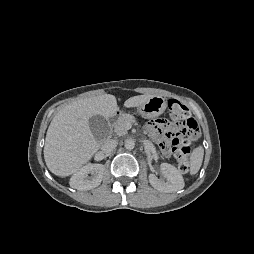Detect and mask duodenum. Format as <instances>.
<instances>
[{
	"label": "duodenum",
	"instance_id": "1",
	"mask_svg": "<svg viewBox=\"0 0 254 254\" xmlns=\"http://www.w3.org/2000/svg\"><path fill=\"white\" fill-rule=\"evenodd\" d=\"M119 114H120L119 111H116L115 113H113L109 121L112 122ZM108 130H110V123L108 126Z\"/></svg>",
	"mask_w": 254,
	"mask_h": 254
}]
</instances>
